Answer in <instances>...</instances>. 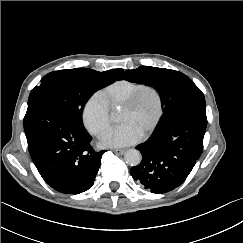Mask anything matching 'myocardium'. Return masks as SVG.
I'll use <instances>...</instances> for the list:
<instances>
[{"label": "myocardium", "mask_w": 243, "mask_h": 243, "mask_svg": "<svg viewBox=\"0 0 243 243\" xmlns=\"http://www.w3.org/2000/svg\"><path fill=\"white\" fill-rule=\"evenodd\" d=\"M151 90L155 93L158 100V111L152 125L147 129V131L143 134L144 136H149L152 134L157 126L159 125L163 113H164V99L160 89L153 84H142L136 91L130 96V98L122 105V109L124 110H132L135 109L139 103L141 95L144 91Z\"/></svg>", "instance_id": "obj_1"}]
</instances>
